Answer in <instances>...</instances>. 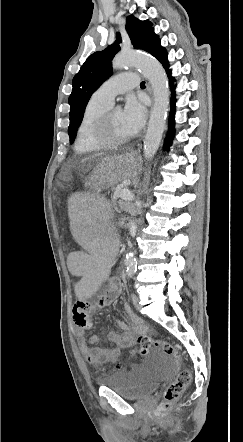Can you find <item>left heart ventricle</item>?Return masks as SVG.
<instances>
[{
    "mask_svg": "<svg viewBox=\"0 0 243 442\" xmlns=\"http://www.w3.org/2000/svg\"><path fill=\"white\" fill-rule=\"evenodd\" d=\"M130 135L131 133L124 123L122 111L114 109L110 116L109 136L113 139H122Z\"/></svg>",
    "mask_w": 243,
    "mask_h": 442,
    "instance_id": "b2bd125f",
    "label": "left heart ventricle"
}]
</instances>
